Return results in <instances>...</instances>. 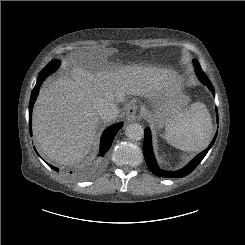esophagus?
<instances>
[{"label":"esophagus","instance_id":"obj_1","mask_svg":"<svg viewBox=\"0 0 245 245\" xmlns=\"http://www.w3.org/2000/svg\"><path fill=\"white\" fill-rule=\"evenodd\" d=\"M126 118L129 122L137 121L140 118L138 106L136 104H132L128 108L126 112Z\"/></svg>","mask_w":245,"mask_h":245}]
</instances>
